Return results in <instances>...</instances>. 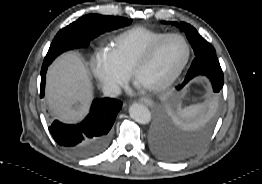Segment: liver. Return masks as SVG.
<instances>
[{"label": "liver", "instance_id": "obj_1", "mask_svg": "<svg viewBox=\"0 0 262 184\" xmlns=\"http://www.w3.org/2000/svg\"><path fill=\"white\" fill-rule=\"evenodd\" d=\"M46 98L54 116L63 122H77L87 114L92 99L91 77L75 53L63 54L49 68Z\"/></svg>", "mask_w": 262, "mask_h": 184}]
</instances>
